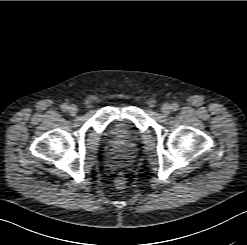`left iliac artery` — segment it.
<instances>
[{
	"label": "left iliac artery",
	"mask_w": 247,
	"mask_h": 245,
	"mask_svg": "<svg viewBox=\"0 0 247 245\" xmlns=\"http://www.w3.org/2000/svg\"><path fill=\"white\" fill-rule=\"evenodd\" d=\"M178 108H179V105H178L177 103H173L172 106H171V109H172L173 111H177Z\"/></svg>",
	"instance_id": "1"
}]
</instances>
